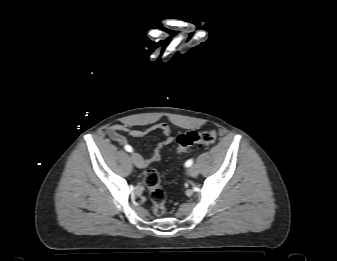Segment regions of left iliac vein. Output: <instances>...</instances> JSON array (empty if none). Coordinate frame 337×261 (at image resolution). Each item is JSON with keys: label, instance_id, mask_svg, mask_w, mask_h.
Listing matches in <instances>:
<instances>
[{"label": "left iliac vein", "instance_id": "obj_1", "mask_svg": "<svg viewBox=\"0 0 337 261\" xmlns=\"http://www.w3.org/2000/svg\"><path fill=\"white\" fill-rule=\"evenodd\" d=\"M199 173V170L196 166H193L191 168L188 169V174L192 177H196Z\"/></svg>", "mask_w": 337, "mask_h": 261}]
</instances>
